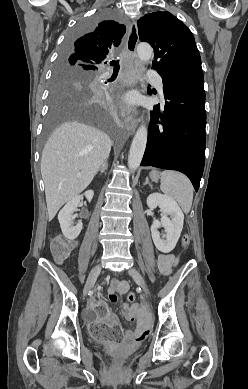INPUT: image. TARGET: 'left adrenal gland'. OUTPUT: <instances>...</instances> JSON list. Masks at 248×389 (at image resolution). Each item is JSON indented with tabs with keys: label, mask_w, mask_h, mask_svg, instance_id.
Returning a JSON list of instances; mask_svg holds the SVG:
<instances>
[{
	"label": "left adrenal gland",
	"mask_w": 248,
	"mask_h": 389,
	"mask_svg": "<svg viewBox=\"0 0 248 389\" xmlns=\"http://www.w3.org/2000/svg\"><path fill=\"white\" fill-rule=\"evenodd\" d=\"M144 185H149L152 188V184L149 182L148 178H146V181H145Z\"/></svg>",
	"instance_id": "obj_1"
}]
</instances>
